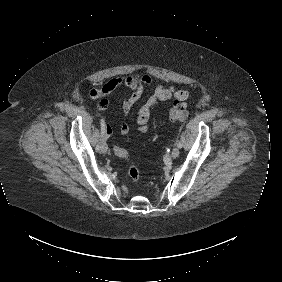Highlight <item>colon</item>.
<instances>
[{"label":"colon","mask_w":282,"mask_h":282,"mask_svg":"<svg viewBox=\"0 0 282 282\" xmlns=\"http://www.w3.org/2000/svg\"><path fill=\"white\" fill-rule=\"evenodd\" d=\"M186 110L183 107H175L171 110V118L173 120H184L186 118ZM113 154L118 157L122 158L128 161L129 169H128V175L129 178L133 182H137L140 180V169L137 165V163L132 159V156L128 149L123 147H114L113 148Z\"/></svg>","instance_id":"colon-1"}]
</instances>
